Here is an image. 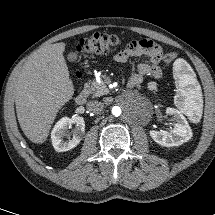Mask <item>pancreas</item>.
I'll use <instances>...</instances> for the list:
<instances>
[{"label":"pancreas","instance_id":"cf45deb5","mask_svg":"<svg viewBox=\"0 0 215 215\" xmlns=\"http://www.w3.org/2000/svg\"><path fill=\"white\" fill-rule=\"evenodd\" d=\"M155 86H151L153 89ZM85 89L90 93L93 97H100L104 94L108 93V89L104 84L100 85L97 81H90L85 84Z\"/></svg>","mask_w":215,"mask_h":215}]
</instances>
